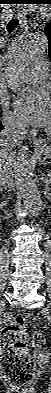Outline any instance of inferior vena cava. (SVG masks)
Instances as JSON below:
<instances>
[{
    "mask_svg": "<svg viewBox=\"0 0 51 393\" xmlns=\"http://www.w3.org/2000/svg\"><path fill=\"white\" fill-rule=\"evenodd\" d=\"M25 127L14 121L5 124V128L0 133V155L5 156L8 152H13L20 146L25 138ZM13 168L7 163L5 157H0V186L1 189L11 191L14 187Z\"/></svg>",
    "mask_w": 51,
    "mask_h": 393,
    "instance_id": "obj_1",
    "label": "inferior vena cava"
}]
</instances>
